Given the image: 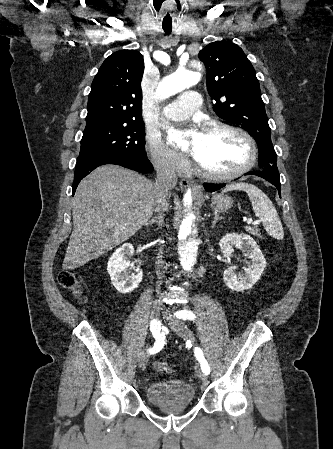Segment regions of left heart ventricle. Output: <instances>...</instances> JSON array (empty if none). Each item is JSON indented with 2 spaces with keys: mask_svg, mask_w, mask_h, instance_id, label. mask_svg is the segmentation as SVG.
<instances>
[{
  "mask_svg": "<svg viewBox=\"0 0 333 449\" xmlns=\"http://www.w3.org/2000/svg\"><path fill=\"white\" fill-rule=\"evenodd\" d=\"M194 158L207 170L227 173L240 168L248 158L242 138L228 132H204Z\"/></svg>",
  "mask_w": 333,
  "mask_h": 449,
  "instance_id": "1",
  "label": "left heart ventricle"
}]
</instances>
